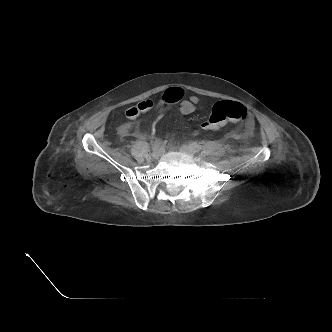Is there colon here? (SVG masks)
Wrapping results in <instances>:
<instances>
[{"mask_svg": "<svg viewBox=\"0 0 332 332\" xmlns=\"http://www.w3.org/2000/svg\"><path fill=\"white\" fill-rule=\"evenodd\" d=\"M182 93L178 89H169L162 97L164 102H176L180 100ZM155 106V102L152 100L141 101L126 111V117L134 119L149 112ZM250 115L246 107L242 104L233 101H218L216 102L210 112L209 117L205 120L201 127L207 131H216L220 129L227 122H239L249 120ZM131 126L126 124L125 131H129Z\"/></svg>", "mask_w": 332, "mask_h": 332, "instance_id": "1", "label": "colon"}]
</instances>
